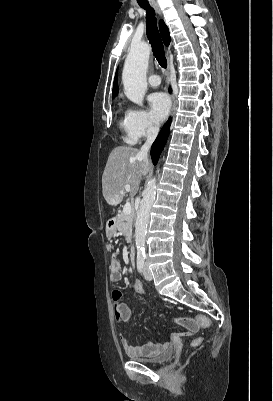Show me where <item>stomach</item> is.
<instances>
[{
	"label": "stomach",
	"instance_id": "obj_1",
	"mask_svg": "<svg viewBox=\"0 0 273 401\" xmlns=\"http://www.w3.org/2000/svg\"><path fill=\"white\" fill-rule=\"evenodd\" d=\"M106 233H107V237H113V235L115 233V227H109V225H107Z\"/></svg>",
	"mask_w": 273,
	"mask_h": 401
}]
</instances>
